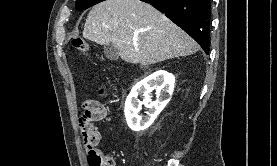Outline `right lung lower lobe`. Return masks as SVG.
<instances>
[{"label":"right lung lower lobe","mask_w":277,"mask_h":166,"mask_svg":"<svg viewBox=\"0 0 277 166\" xmlns=\"http://www.w3.org/2000/svg\"><path fill=\"white\" fill-rule=\"evenodd\" d=\"M164 13L194 38L206 54L210 48L211 0H141Z\"/></svg>","instance_id":"right-lung-lower-lobe-1"}]
</instances>
